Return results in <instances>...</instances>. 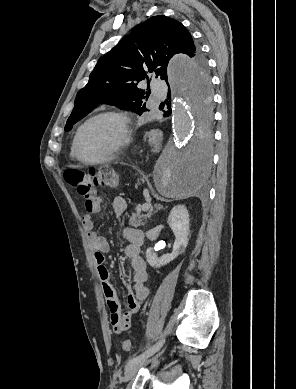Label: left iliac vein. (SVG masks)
<instances>
[{
	"label": "left iliac vein",
	"instance_id": "left-iliac-vein-1",
	"mask_svg": "<svg viewBox=\"0 0 296 389\" xmlns=\"http://www.w3.org/2000/svg\"><path fill=\"white\" fill-rule=\"evenodd\" d=\"M160 354V353H159ZM158 356V355H157ZM157 356H155L153 358V361L156 360ZM144 364V361L142 362H139L138 364L128 368L125 372V375H124V382H128L130 381L131 379H133L135 377V375L137 374L138 370L140 369V367Z\"/></svg>",
	"mask_w": 296,
	"mask_h": 389
}]
</instances>
